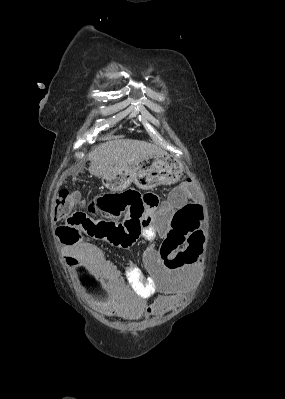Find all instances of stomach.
<instances>
[{"label": "stomach", "instance_id": "stomach-1", "mask_svg": "<svg viewBox=\"0 0 285 399\" xmlns=\"http://www.w3.org/2000/svg\"><path fill=\"white\" fill-rule=\"evenodd\" d=\"M183 166L169 155H154L138 165L115 170L102 177V184L111 192H121L133 182L138 188L150 190L158 185L177 182Z\"/></svg>", "mask_w": 285, "mask_h": 399}]
</instances>
